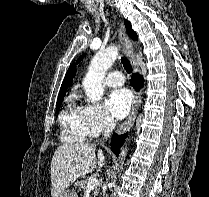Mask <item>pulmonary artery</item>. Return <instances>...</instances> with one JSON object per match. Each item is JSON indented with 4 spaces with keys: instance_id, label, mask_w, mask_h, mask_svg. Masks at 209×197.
<instances>
[{
    "instance_id": "pulmonary-artery-1",
    "label": "pulmonary artery",
    "mask_w": 209,
    "mask_h": 197,
    "mask_svg": "<svg viewBox=\"0 0 209 197\" xmlns=\"http://www.w3.org/2000/svg\"><path fill=\"white\" fill-rule=\"evenodd\" d=\"M124 82V76L120 71L110 72L105 79V84L111 87L121 86Z\"/></svg>"
}]
</instances>
